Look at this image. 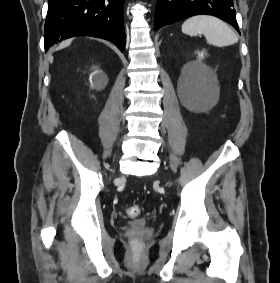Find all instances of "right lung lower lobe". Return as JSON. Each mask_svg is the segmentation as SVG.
I'll return each instance as SVG.
<instances>
[{"label":"right lung lower lobe","instance_id":"1","mask_svg":"<svg viewBox=\"0 0 280 283\" xmlns=\"http://www.w3.org/2000/svg\"><path fill=\"white\" fill-rule=\"evenodd\" d=\"M125 0H48L44 26L47 51L74 36H93L125 50L123 7Z\"/></svg>","mask_w":280,"mask_h":283}]
</instances>
